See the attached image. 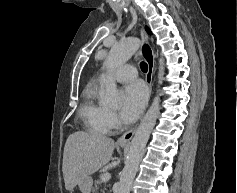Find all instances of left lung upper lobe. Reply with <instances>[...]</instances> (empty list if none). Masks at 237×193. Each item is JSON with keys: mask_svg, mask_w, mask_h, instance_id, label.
Masks as SVG:
<instances>
[{"mask_svg": "<svg viewBox=\"0 0 237 193\" xmlns=\"http://www.w3.org/2000/svg\"><path fill=\"white\" fill-rule=\"evenodd\" d=\"M146 30H147L148 33H151V31L148 27H146Z\"/></svg>", "mask_w": 237, "mask_h": 193, "instance_id": "1", "label": "left lung upper lobe"}]
</instances>
